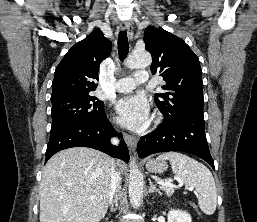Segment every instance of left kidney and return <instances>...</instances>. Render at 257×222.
Masks as SVG:
<instances>
[{
    "instance_id": "left-kidney-1",
    "label": "left kidney",
    "mask_w": 257,
    "mask_h": 222,
    "mask_svg": "<svg viewBox=\"0 0 257 222\" xmlns=\"http://www.w3.org/2000/svg\"><path fill=\"white\" fill-rule=\"evenodd\" d=\"M168 222H192V219L188 213L173 209L168 213Z\"/></svg>"
}]
</instances>
